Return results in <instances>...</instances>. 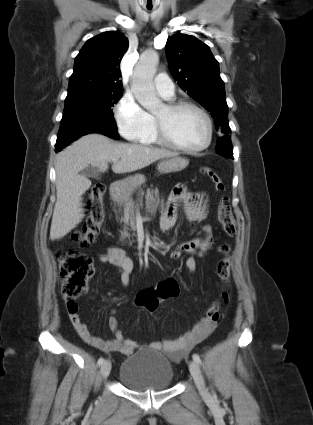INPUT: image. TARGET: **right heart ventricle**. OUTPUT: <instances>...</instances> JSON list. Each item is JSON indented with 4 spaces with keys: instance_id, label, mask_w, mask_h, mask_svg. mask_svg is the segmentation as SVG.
I'll list each match as a JSON object with an SVG mask.
<instances>
[{
    "instance_id": "1",
    "label": "right heart ventricle",
    "mask_w": 313,
    "mask_h": 425,
    "mask_svg": "<svg viewBox=\"0 0 313 425\" xmlns=\"http://www.w3.org/2000/svg\"><path fill=\"white\" fill-rule=\"evenodd\" d=\"M140 142L144 145H160L161 144L154 130H152L151 133L145 138H143Z\"/></svg>"
}]
</instances>
